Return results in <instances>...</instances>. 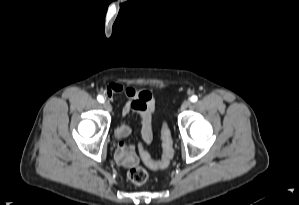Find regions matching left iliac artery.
I'll return each instance as SVG.
<instances>
[{
    "instance_id": "1",
    "label": "left iliac artery",
    "mask_w": 299,
    "mask_h": 205,
    "mask_svg": "<svg viewBox=\"0 0 299 205\" xmlns=\"http://www.w3.org/2000/svg\"><path fill=\"white\" fill-rule=\"evenodd\" d=\"M191 102H196L198 100V97L196 95H193L191 98H190Z\"/></svg>"
}]
</instances>
